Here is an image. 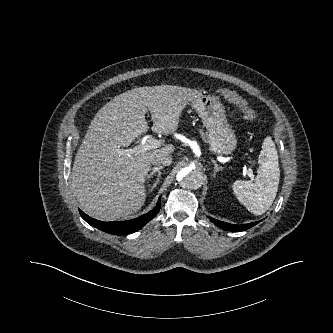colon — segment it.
Listing matches in <instances>:
<instances>
[{"mask_svg":"<svg viewBox=\"0 0 333 333\" xmlns=\"http://www.w3.org/2000/svg\"><path fill=\"white\" fill-rule=\"evenodd\" d=\"M218 92L225 100L233 103L239 109L244 119L248 121H254L257 119V113L251 108L248 101L242 98L235 91L220 88Z\"/></svg>","mask_w":333,"mask_h":333,"instance_id":"5ec220e1","label":"colon"}]
</instances>
